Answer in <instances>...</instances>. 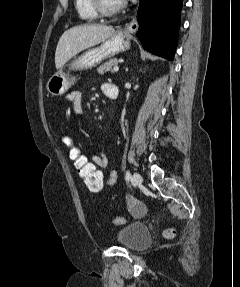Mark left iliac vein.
I'll return each instance as SVG.
<instances>
[{
  "instance_id": "obj_1",
  "label": "left iliac vein",
  "mask_w": 240,
  "mask_h": 287,
  "mask_svg": "<svg viewBox=\"0 0 240 287\" xmlns=\"http://www.w3.org/2000/svg\"><path fill=\"white\" fill-rule=\"evenodd\" d=\"M143 179L142 176L138 172H134L133 174V182L136 185H140L142 183Z\"/></svg>"
}]
</instances>
